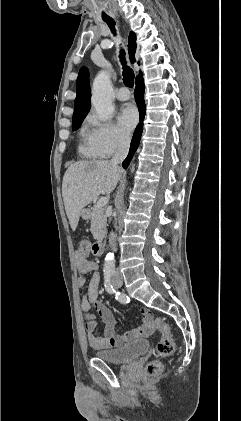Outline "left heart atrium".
Masks as SVG:
<instances>
[{
	"mask_svg": "<svg viewBox=\"0 0 241 421\" xmlns=\"http://www.w3.org/2000/svg\"><path fill=\"white\" fill-rule=\"evenodd\" d=\"M119 125L127 132H130L138 121L137 109L132 104H124L117 116Z\"/></svg>",
	"mask_w": 241,
	"mask_h": 421,
	"instance_id": "39dd6f15",
	"label": "left heart atrium"
}]
</instances>
